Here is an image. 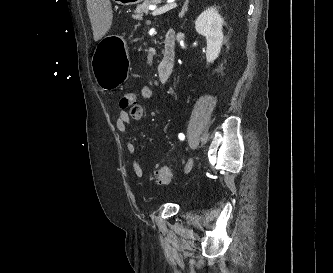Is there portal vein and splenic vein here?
Wrapping results in <instances>:
<instances>
[{"label": "portal vein and splenic vein", "instance_id": "portal-vein-and-splenic-vein-1", "mask_svg": "<svg viewBox=\"0 0 333 273\" xmlns=\"http://www.w3.org/2000/svg\"><path fill=\"white\" fill-rule=\"evenodd\" d=\"M176 6H177L176 3H170V4L164 5V6L159 7V8L153 7V8H151L152 15L153 16L161 15V14H163V13H165V12H167V11L173 9V8H175Z\"/></svg>", "mask_w": 333, "mask_h": 273}]
</instances>
